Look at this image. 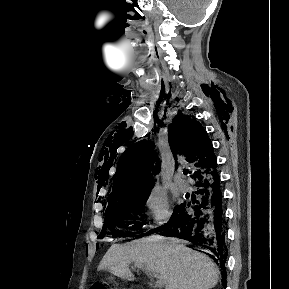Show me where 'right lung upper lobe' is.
<instances>
[{
	"label": "right lung upper lobe",
	"mask_w": 289,
	"mask_h": 289,
	"mask_svg": "<svg viewBox=\"0 0 289 289\" xmlns=\"http://www.w3.org/2000/svg\"><path fill=\"white\" fill-rule=\"evenodd\" d=\"M170 127L169 144L172 153L185 155L194 166L192 177L197 180L216 169V158L211 141L202 125L193 116L178 113ZM160 171V163L153 143L140 141L132 145L121 161L115 175L112 192L108 196V206L131 196L150 192L154 185L150 170Z\"/></svg>",
	"instance_id": "1"
}]
</instances>
